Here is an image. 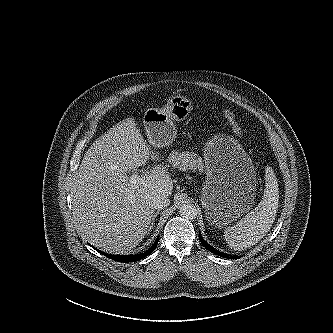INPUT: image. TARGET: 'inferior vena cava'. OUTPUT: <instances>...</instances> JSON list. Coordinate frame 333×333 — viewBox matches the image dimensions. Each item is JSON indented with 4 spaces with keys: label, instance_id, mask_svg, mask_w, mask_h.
I'll return each mask as SVG.
<instances>
[{
    "label": "inferior vena cava",
    "instance_id": "602c4592",
    "mask_svg": "<svg viewBox=\"0 0 333 333\" xmlns=\"http://www.w3.org/2000/svg\"><path fill=\"white\" fill-rule=\"evenodd\" d=\"M153 207L155 209H163L170 204V200L165 193H158L153 197L152 200Z\"/></svg>",
    "mask_w": 333,
    "mask_h": 333
}]
</instances>
